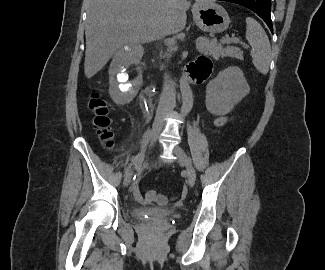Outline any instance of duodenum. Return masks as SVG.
Segmentation results:
<instances>
[{
    "instance_id": "obj_1",
    "label": "duodenum",
    "mask_w": 325,
    "mask_h": 270,
    "mask_svg": "<svg viewBox=\"0 0 325 270\" xmlns=\"http://www.w3.org/2000/svg\"><path fill=\"white\" fill-rule=\"evenodd\" d=\"M190 77H187V76H183V77H180L176 82H175V84H183V83H185V82H187L188 81V79H189ZM193 81V80H192Z\"/></svg>"
}]
</instances>
